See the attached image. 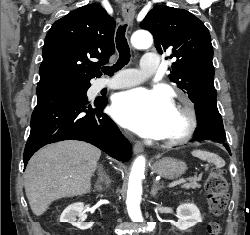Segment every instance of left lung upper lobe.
I'll list each match as a JSON object with an SVG mask.
<instances>
[{"mask_svg": "<svg viewBox=\"0 0 250 235\" xmlns=\"http://www.w3.org/2000/svg\"><path fill=\"white\" fill-rule=\"evenodd\" d=\"M140 27L152 33L160 54L176 59L170 80L194 103L217 97L211 37L200 19L185 9L160 5L149 11Z\"/></svg>", "mask_w": 250, "mask_h": 235, "instance_id": "1", "label": "left lung upper lobe"}]
</instances>
